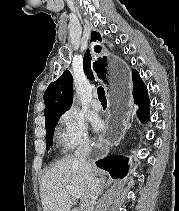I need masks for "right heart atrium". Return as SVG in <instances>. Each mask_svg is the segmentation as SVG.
Wrapping results in <instances>:
<instances>
[{
    "label": "right heart atrium",
    "mask_w": 179,
    "mask_h": 211,
    "mask_svg": "<svg viewBox=\"0 0 179 211\" xmlns=\"http://www.w3.org/2000/svg\"><path fill=\"white\" fill-rule=\"evenodd\" d=\"M56 137L66 151H71L80 144L88 143V125L85 118L76 110H67L59 118Z\"/></svg>",
    "instance_id": "obj_1"
}]
</instances>
